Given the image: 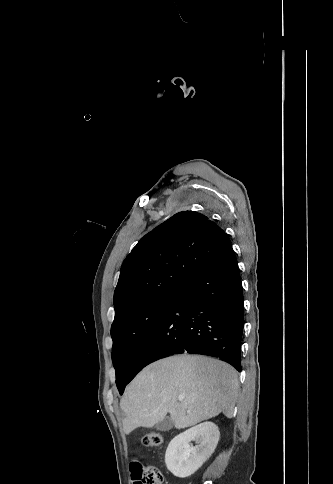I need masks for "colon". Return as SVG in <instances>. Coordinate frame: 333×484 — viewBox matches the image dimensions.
I'll return each mask as SVG.
<instances>
[{
	"label": "colon",
	"instance_id": "obj_1",
	"mask_svg": "<svg viewBox=\"0 0 333 484\" xmlns=\"http://www.w3.org/2000/svg\"><path fill=\"white\" fill-rule=\"evenodd\" d=\"M141 442L146 447H157L163 442V437L159 433L149 432L145 434ZM163 474L154 466L141 467L138 475L137 484H162Z\"/></svg>",
	"mask_w": 333,
	"mask_h": 484
}]
</instances>
